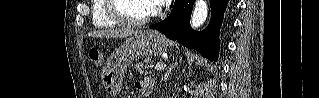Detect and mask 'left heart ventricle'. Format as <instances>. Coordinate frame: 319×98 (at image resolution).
Listing matches in <instances>:
<instances>
[{"label": "left heart ventricle", "instance_id": "left-heart-ventricle-1", "mask_svg": "<svg viewBox=\"0 0 319 98\" xmlns=\"http://www.w3.org/2000/svg\"><path fill=\"white\" fill-rule=\"evenodd\" d=\"M117 11L129 19H142L152 12L151 2L147 0L116 1Z\"/></svg>", "mask_w": 319, "mask_h": 98}]
</instances>
